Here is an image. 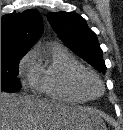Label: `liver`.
Masks as SVG:
<instances>
[{"label":"liver","instance_id":"1","mask_svg":"<svg viewBox=\"0 0 123 130\" xmlns=\"http://www.w3.org/2000/svg\"><path fill=\"white\" fill-rule=\"evenodd\" d=\"M100 118L81 106L1 92V130H95Z\"/></svg>","mask_w":123,"mask_h":130}]
</instances>
